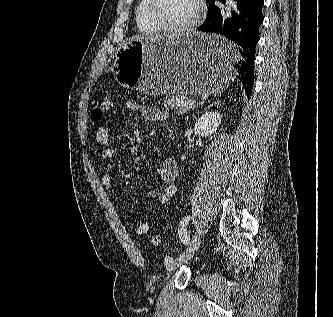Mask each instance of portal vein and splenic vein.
<instances>
[{"label": "portal vein and splenic vein", "instance_id": "obj_1", "mask_svg": "<svg viewBox=\"0 0 333 317\" xmlns=\"http://www.w3.org/2000/svg\"><path fill=\"white\" fill-rule=\"evenodd\" d=\"M189 103H190L191 105H194V104L196 103V101H195L194 99H192V100H189Z\"/></svg>", "mask_w": 333, "mask_h": 317}]
</instances>
